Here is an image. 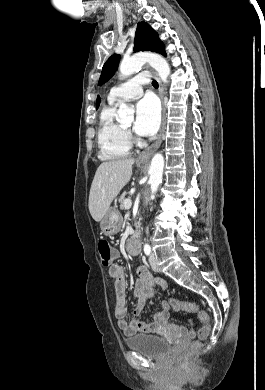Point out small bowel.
<instances>
[{
  "label": "small bowel",
  "mask_w": 265,
  "mask_h": 390,
  "mask_svg": "<svg viewBox=\"0 0 265 390\" xmlns=\"http://www.w3.org/2000/svg\"><path fill=\"white\" fill-rule=\"evenodd\" d=\"M117 256L118 252L114 251V257ZM108 273L110 277L114 279L116 295L115 316L118 327L127 335L160 332L168 322L170 314L169 302H161L159 311L153 315L152 320L149 323H145L136 318L128 321L126 319L127 304L125 269L121 265L114 264L109 268ZM137 273L138 280L135 283L133 291V295L136 299V304L133 309L135 316H139L143 312L146 303L152 298L154 286H159L162 289H166L167 287V284L163 279L152 277L148 270L143 266L138 267ZM174 330L180 335L188 338H193L196 335L194 323L191 320L188 322L187 326H175Z\"/></svg>",
  "instance_id": "1"
}]
</instances>
